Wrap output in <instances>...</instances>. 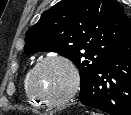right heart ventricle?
<instances>
[{"instance_id":"1","label":"right heart ventricle","mask_w":131,"mask_h":115,"mask_svg":"<svg viewBox=\"0 0 131 115\" xmlns=\"http://www.w3.org/2000/svg\"><path fill=\"white\" fill-rule=\"evenodd\" d=\"M28 74H29V71L25 74V76H24V78H23V82H22L23 92H24V95H25L27 101H28L31 105L38 107V106L41 105V103H40L37 99H35V98L30 94V92H29V90H28V86H27Z\"/></svg>"}]
</instances>
